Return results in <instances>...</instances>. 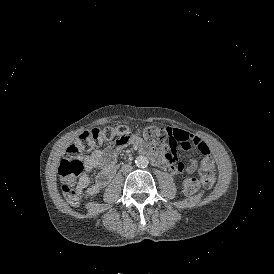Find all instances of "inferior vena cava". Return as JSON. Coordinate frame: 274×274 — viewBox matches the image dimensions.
<instances>
[{
	"mask_svg": "<svg viewBox=\"0 0 274 274\" xmlns=\"http://www.w3.org/2000/svg\"><path fill=\"white\" fill-rule=\"evenodd\" d=\"M131 170H132V167L130 165H125L126 172L131 171Z\"/></svg>",
	"mask_w": 274,
	"mask_h": 274,
	"instance_id": "1",
	"label": "inferior vena cava"
}]
</instances>
